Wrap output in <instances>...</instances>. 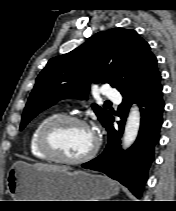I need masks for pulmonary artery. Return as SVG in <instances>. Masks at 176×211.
Here are the masks:
<instances>
[{
    "mask_svg": "<svg viewBox=\"0 0 176 211\" xmlns=\"http://www.w3.org/2000/svg\"><path fill=\"white\" fill-rule=\"evenodd\" d=\"M104 95L106 98L113 100V101L120 100V93L116 90L107 89V90H105Z\"/></svg>",
    "mask_w": 176,
    "mask_h": 211,
    "instance_id": "1",
    "label": "pulmonary artery"
}]
</instances>
